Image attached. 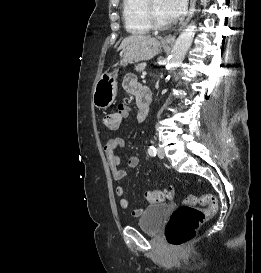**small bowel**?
Returning a JSON list of instances; mask_svg holds the SVG:
<instances>
[{
  "label": "small bowel",
  "mask_w": 261,
  "mask_h": 273,
  "mask_svg": "<svg viewBox=\"0 0 261 273\" xmlns=\"http://www.w3.org/2000/svg\"><path fill=\"white\" fill-rule=\"evenodd\" d=\"M124 89L135 96L136 100L141 96L143 87L136 79L135 75L127 74L123 80ZM147 90V89H146ZM148 91V90H147ZM119 111L123 112V117L125 118L129 115V107L124 104L118 106ZM125 147L124 140L120 137L109 138L104 145V153L111 171V176L114 181H121L125 178L128 170L131 168H136L140 164V159L137 156H130L125 165L121 166V157L118 152ZM116 195L120 197L119 205L122 209H127L129 207V200L125 196V189L123 186L118 185L115 189ZM143 209H135L132 211L133 216L138 217L142 214Z\"/></svg>",
  "instance_id": "c3829d8e"
}]
</instances>
